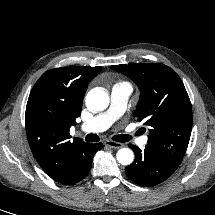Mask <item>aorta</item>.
Instances as JSON below:
<instances>
[{
	"label": "aorta",
	"mask_w": 215,
	"mask_h": 215,
	"mask_svg": "<svg viewBox=\"0 0 215 215\" xmlns=\"http://www.w3.org/2000/svg\"><path fill=\"white\" fill-rule=\"evenodd\" d=\"M86 105L88 108L101 111L108 107L109 96L108 94L98 88H94L88 92L86 96ZM134 154L128 148H122L117 152V160L122 165H129L133 162Z\"/></svg>",
	"instance_id": "1"
}]
</instances>
